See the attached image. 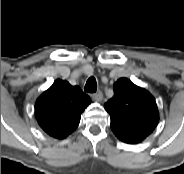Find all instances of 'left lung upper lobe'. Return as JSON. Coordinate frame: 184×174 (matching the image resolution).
<instances>
[{
	"label": "left lung upper lobe",
	"mask_w": 184,
	"mask_h": 174,
	"mask_svg": "<svg viewBox=\"0 0 184 174\" xmlns=\"http://www.w3.org/2000/svg\"><path fill=\"white\" fill-rule=\"evenodd\" d=\"M114 96L104 104L111 117V129L119 139L141 142L157 126L158 108L154 97L127 78L113 85Z\"/></svg>",
	"instance_id": "obj_1"
}]
</instances>
